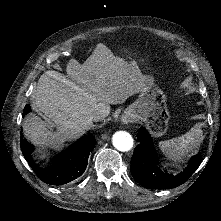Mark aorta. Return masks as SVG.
<instances>
[{
    "label": "aorta",
    "mask_w": 221,
    "mask_h": 221,
    "mask_svg": "<svg viewBox=\"0 0 221 221\" xmlns=\"http://www.w3.org/2000/svg\"><path fill=\"white\" fill-rule=\"evenodd\" d=\"M112 142L113 146L119 151H129L134 144L132 136L126 131L115 132Z\"/></svg>",
    "instance_id": "1"
}]
</instances>
